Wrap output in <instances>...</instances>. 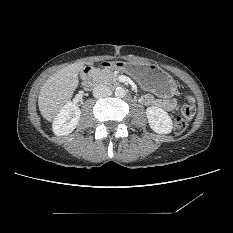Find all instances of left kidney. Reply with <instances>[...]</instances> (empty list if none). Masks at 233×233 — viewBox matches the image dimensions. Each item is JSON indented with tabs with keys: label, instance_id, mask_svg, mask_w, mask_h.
I'll list each match as a JSON object with an SVG mask.
<instances>
[{
	"label": "left kidney",
	"instance_id": "5707ae66",
	"mask_svg": "<svg viewBox=\"0 0 233 233\" xmlns=\"http://www.w3.org/2000/svg\"><path fill=\"white\" fill-rule=\"evenodd\" d=\"M146 115L150 128L158 134H168L172 131L173 123L168 113L162 108L148 107Z\"/></svg>",
	"mask_w": 233,
	"mask_h": 233
}]
</instances>
